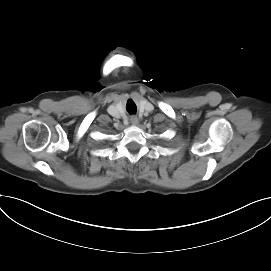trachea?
Wrapping results in <instances>:
<instances>
[{"mask_svg": "<svg viewBox=\"0 0 271 271\" xmlns=\"http://www.w3.org/2000/svg\"><path fill=\"white\" fill-rule=\"evenodd\" d=\"M130 105H131V107H130ZM136 110H137V108H136V105H135L134 103H129V104H128V106H127V111H128L129 113H135Z\"/></svg>", "mask_w": 271, "mask_h": 271, "instance_id": "obj_1", "label": "trachea"}]
</instances>
